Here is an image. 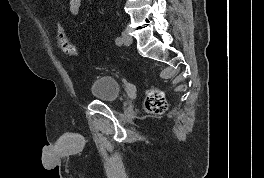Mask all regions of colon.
<instances>
[{
  "label": "colon",
  "instance_id": "colon-1",
  "mask_svg": "<svg viewBox=\"0 0 264 178\" xmlns=\"http://www.w3.org/2000/svg\"><path fill=\"white\" fill-rule=\"evenodd\" d=\"M55 27L58 46L62 52L68 56H77L79 51L71 43L61 24L56 21ZM144 105L147 111L156 114L164 113L168 109V103L164 93L156 88L150 89L148 91Z\"/></svg>",
  "mask_w": 264,
  "mask_h": 178
}]
</instances>
